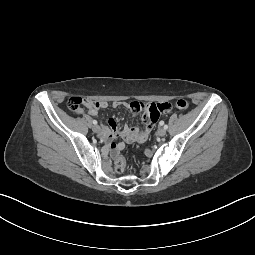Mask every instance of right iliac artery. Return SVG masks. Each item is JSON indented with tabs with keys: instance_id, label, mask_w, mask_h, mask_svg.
I'll use <instances>...</instances> for the list:
<instances>
[{
	"instance_id": "82829eb1",
	"label": "right iliac artery",
	"mask_w": 255,
	"mask_h": 255,
	"mask_svg": "<svg viewBox=\"0 0 255 255\" xmlns=\"http://www.w3.org/2000/svg\"><path fill=\"white\" fill-rule=\"evenodd\" d=\"M92 123H93L94 125H97V121H96V120H93Z\"/></svg>"
}]
</instances>
